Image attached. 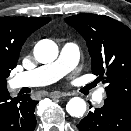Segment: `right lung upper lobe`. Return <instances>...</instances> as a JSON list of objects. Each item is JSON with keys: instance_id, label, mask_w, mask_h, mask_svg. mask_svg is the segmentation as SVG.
<instances>
[{"instance_id": "obj_1", "label": "right lung upper lobe", "mask_w": 131, "mask_h": 131, "mask_svg": "<svg viewBox=\"0 0 131 131\" xmlns=\"http://www.w3.org/2000/svg\"><path fill=\"white\" fill-rule=\"evenodd\" d=\"M50 20L46 17L0 18V66H16L27 37Z\"/></svg>"}]
</instances>
